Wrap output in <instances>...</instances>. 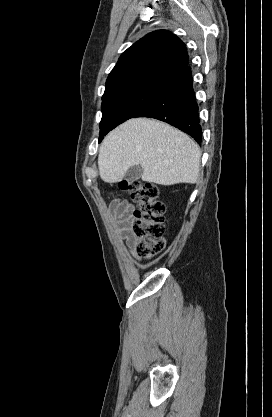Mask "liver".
<instances>
[{
  "mask_svg": "<svg viewBox=\"0 0 272 417\" xmlns=\"http://www.w3.org/2000/svg\"><path fill=\"white\" fill-rule=\"evenodd\" d=\"M201 151L185 133L147 118L130 119L111 131L101 144L98 169L106 183L123 179L141 165L142 180L160 185L196 183Z\"/></svg>",
  "mask_w": 272,
  "mask_h": 417,
  "instance_id": "liver-1",
  "label": "liver"
}]
</instances>
